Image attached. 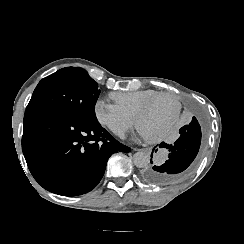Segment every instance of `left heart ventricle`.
Returning <instances> with one entry per match:
<instances>
[{"label":"left heart ventricle","mask_w":244,"mask_h":244,"mask_svg":"<svg viewBox=\"0 0 244 244\" xmlns=\"http://www.w3.org/2000/svg\"><path fill=\"white\" fill-rule=\"evenodd\" d=\"M177 103L172 98L160 99L144 116L143 127L160 135L165 129V120L176 110Z\"/></svg>","instance_id":"1"}]
</instances>
